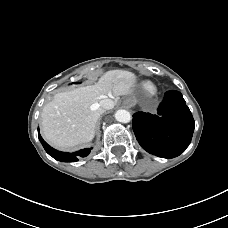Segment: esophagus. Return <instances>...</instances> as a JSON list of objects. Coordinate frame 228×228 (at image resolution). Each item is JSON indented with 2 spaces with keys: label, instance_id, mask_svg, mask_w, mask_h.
I'll return each mask as SVG.
<instances>
[{
  "label": "esophagus",
  "instance_id": "obj_1",
  "mask_svg": "<svg viewBox=\"0 0 228 228\" xmlns=\"http://www.w3.org/2000/svg\"><path fill=\"white\" fill-rule=\"evenodd\" d=\"M125 103H126L128 106H132V100H131V99H126V100H125Z\"/></svg>",
  "mask_w": 228,
  "mask_h": 228
}]
</instances>
